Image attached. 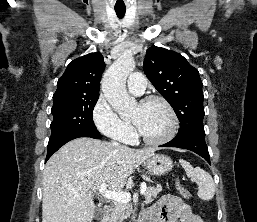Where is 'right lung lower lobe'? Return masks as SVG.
Returning <instances> with one entry per match:
<instances>
[{"label":"right lung lower lobe","mask_w":257,"mask_h":222,"mask_svg":"<svg viewBox=\"0 0 257 222\" xmlns=\"http://www.w3.org/2000/svg\"><path fill=\"white\" fill-rule=\"evenodd\" d=\"M79 137H90L94 139H100L102 135L100 134H86V133H71L64 136H61L59 138H56L54 140L49 141L47 146V156L46 161L51 157L53 153H55L61 146H63L65 143L69 142L70 140H73L75 138Z\"/></svg>","instance_id":"obj_1"}]
</instances>
